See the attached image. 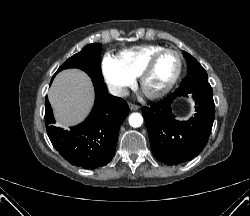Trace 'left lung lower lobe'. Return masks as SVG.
Segmentation results:
<instances>
[{
	"label": "left lung lower lobe",
	"mask_w": 250,
	"mask_h": 216,
	"mask_svg": "<svg viewBox=\"0 0 250 216\" xmlns=\"http://www.w3.org/2000/svg\"><path fill=\"white\" fill-rule=\"evenodd\" d=\"M188 94L196 103V113L188 121H178L171 105L177 97ZM142 113L155 158L169 166L177 165L193 159L205 147L215 116L213 94L202 90L174 92L150 107H143Z\"/></svg>",
	"instance_id": "obj_1"
}]
</instances>
